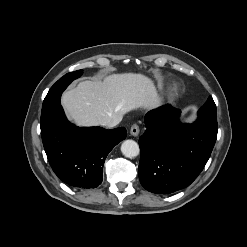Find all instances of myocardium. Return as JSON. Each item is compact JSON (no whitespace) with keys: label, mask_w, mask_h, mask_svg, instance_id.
I'll return each mask as SVG.
<instances>
[{"label":"myocardium","mask_w":247,"mask_h":247,"mask_svg":"<svg viewBox=\"0 0 247 247\" xmlns=\"http://www.w3.org/2000/svg\"><path fill=\"white\" fill-rule=\"evenodd\" d=\"M178 92V89L176 86H172L169 90V96L170 97H174Z\"/></svg>","instance_id":"f54148a6"}]
</instances>
